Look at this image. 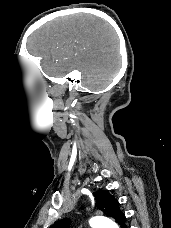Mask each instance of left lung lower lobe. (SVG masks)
<instances>
[{"label": "left lung lower lobe", "mask_w": 171, "mask_h": 228, "mask_svg": "<svg viewBox=\"0 0 171 228\" xmlns=\"http://www.w3.org/2000/svg\"><path fill=\"white\" fill-rule=\"evenodd\" d=\"M120 227H121V228H127V226H126L125 223H124V224H121Z\"/></svg>", "instance_id": "left-lung-lower-lobe-1"}]
</instances>
